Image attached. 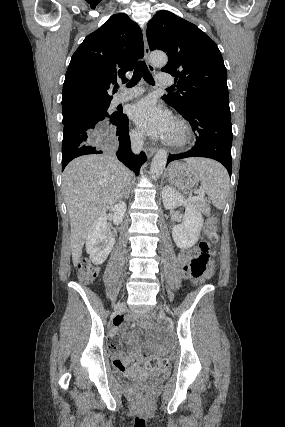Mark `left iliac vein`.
Wrapping results in <instances>:
<instances>
[{
  "label": "left iliac vein",
  "mask_w": 285,
  "mask_h": 427,
  "mask_svg": "<svg viewBox=\"0 0 285 427\" xmlns=\"http://www.w3.org/2000/svg\"><path fill=\"white\" fill-rule=\"evenodd\" d=\"M161 310H164V307L162 305H160Z\"/></svg>",
  "instance_id": "1"
}]
</instances>
